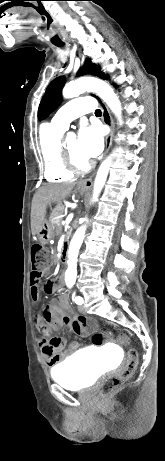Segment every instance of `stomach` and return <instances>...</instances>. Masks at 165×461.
I'll use <instances>...</instances> for the list:
<instances>
[{"mask_svg":"<svg viewBox=\"0 0 165 461\" xmlns=\"http://www.w3.org/2000/svg\"><path fill=\"white\" fill-rule=\"evenodd\" d=\"M81 191L83 188L79 187ZM54 236V229L48 220H44L40 231L37 233V237L41 244H47Z\"/></svg>","mask_w":165,"mask_h":461,"instance_id":"1","label":"stomach"}]
</instances>
